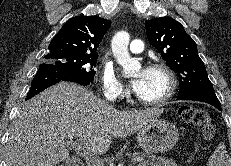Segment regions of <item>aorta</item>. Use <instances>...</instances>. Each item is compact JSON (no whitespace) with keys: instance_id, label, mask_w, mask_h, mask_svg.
Masks as SVG:
<instances>
[{"instance_id":"762f6f07","label":"aorta","mask_w":231,"mask_h":166,"mask_svg":"<svg viewBox=\"0 0 231 166\" xmlns=\"http://www.w3.org/2000/svg\"><path fill=\"white\" fill-rule=\"evenodd\" d=\"M130 35L126 31L117 32L112 39V52L116 61L122 66L125 76L134 75L140 68V62L132 58L128 51Z\"/></svg>"}]
</instances>
